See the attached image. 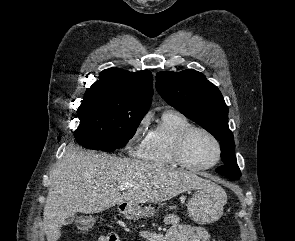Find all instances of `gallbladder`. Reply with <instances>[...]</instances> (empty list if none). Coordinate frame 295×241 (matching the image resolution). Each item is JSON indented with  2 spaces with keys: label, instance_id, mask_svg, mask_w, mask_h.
Listing matches in <instances>:
<instances>
[{
  "label": "gallbladder",
  "instance_id": "gallbladder-1",
  "mask_svg": "<svg viewBox=\"0 0 295 241\" xmlns=\"http://www.w3.org/2000/svg\"><path fill=\"white\" fill-rule=\"evenodd\" d=\"M74 218H75L74 216L67 217L65 219V221H64V225H70V224H72L73 221H74Z\"/></svg>",
  "mask_w": 295,
  "mask_h": 241
}]
</instances>
